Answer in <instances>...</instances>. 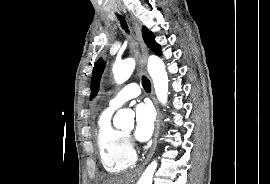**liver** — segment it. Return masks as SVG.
Listing matches in <instances>:
<instances>
[{
  "label": "liver",
  "mask_w": 270,
  "mask_h": 184,
  "mask_svg": "<svg viewBox=\"0 0 270 184\" xmlns=\"http://www.w3.org/2000/svg\"><path fill=\"white\" fill-rule=\"evenodd\" d=\"M133 178L132 174L125 176L112 177L104 181L103 184H130L131 179Z\"/></svg>",
  "instance_id": "liver-1"
}]
</instances>
